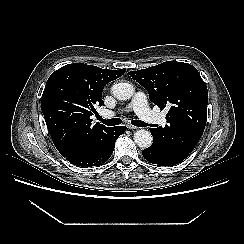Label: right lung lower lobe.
<instances>
[{
    "mask_svg": "<svg viewBox=\"0 0 244 244\" xmlns=\"http://www.w3.org/2000/svg\"><path fill=\"white\" fill-rule=\"evenodd\" d=\"M125 131V126L111 127L97 143L74 149L65 154L64 157L78 167L88 168L100 166L110 158L115 147L116 139Z\"/></svg>",
    "mask_w": 244,
    "mask_h": 244,
    "instance_id": "1",
    "label": "right lung lower lobe"
}]
</instances>
